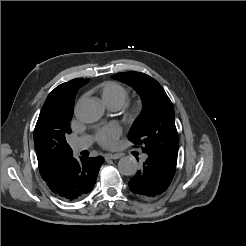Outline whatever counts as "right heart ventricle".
I'll return each instance as SVG.
<instances>
[{
  "instance_id": "right-heart-ventricle-1",
  "label": "right heart ventricle",
  "mask_w": 246,
  "mask_h": 246,
  "mask_svg": "<svg viewBox=\"0 0 246 246\" xmlns=\"http://www.w3.org/2000/svg\"><path fill=\"white\" fill-rule=\"evenodd\" d=\"M99 92L104 103L113 108H120L129 99V91L115 81H106L99 86Z\"/></svg>"
}]
</instances>
